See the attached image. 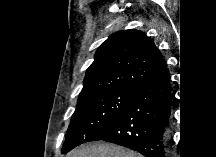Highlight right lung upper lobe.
<instances>
[{"label": "right lung upper lobe", "instance_id": "cb5924a9", "mask_svg": "<svg viewBox=\"0 0 216 157\" xmlns=\"http://www.w3.org/2000/svg\"><path fill=\"white\" fill-rule=\"evenodd\" d=\"M167 67L154 42L142 31L116 32L102 43L86 71L79 99L115 89L134 88Z\"/></svg>", "mask_w": 216, "mask_h": 157}]
</instances>
